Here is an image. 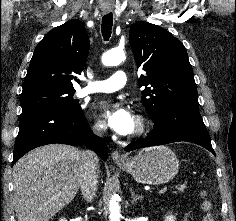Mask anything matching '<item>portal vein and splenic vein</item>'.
Here are the masks:
<instances>
[{"mask_svg": "<svg viewBox=\"0 0 236 221\" xmlns=\"http://www.w3.org/2000/svg\"><path fill=\"white\" fill-rule=\"evenodd\" d=\"M167 191V187L166 186H164V187H162L160 190H159V194H163V193H165Z\"/></svg>", "mask_w": 236, "mask_h": 221, "instance_id": "obj_1", "label": "portal vein and splenic vein"}]
</instances>
